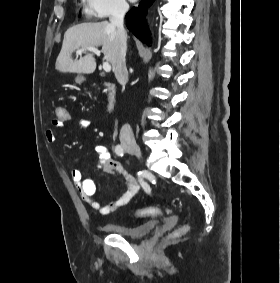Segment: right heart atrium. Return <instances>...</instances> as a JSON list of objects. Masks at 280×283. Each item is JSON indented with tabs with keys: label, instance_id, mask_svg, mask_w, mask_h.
Returning <instances> with one entry per match:
<instances>
[{
	"label": "right heart atrium",
	"instance_id": "1",
	"mask_svg": "<svg viewBox=\"0 0 280 283\" xmlns=\"http://www.w3.org/2000/svg\"><path fill=\"white\" fill-rule=\"evenodd\" d=\"M83 4L85 13L96 19L122 15L129 7L126 0H83Z\"/></svg>",
	"mask_w": 280,
	"mask_h": 283
}]
</instances>
